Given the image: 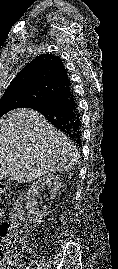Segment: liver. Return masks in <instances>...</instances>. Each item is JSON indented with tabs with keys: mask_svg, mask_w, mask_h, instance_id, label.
<instances>
[{
	"mask_svg": "<svg viewBox=\"0 0 118 269\" xmlns=\"http://www.w3.org/2000/svg\"><path fill=\"white\" fill-rule=\"evenodd\" d=\"M78 149L39 112L20 108L0 119V179L29 183L77 164Z\"/></svg>",
	"mask_w": 118,
	"mask_h": 269,
	"instance_id": "obj_1",
	"label": "liver"
}]
</instances>
